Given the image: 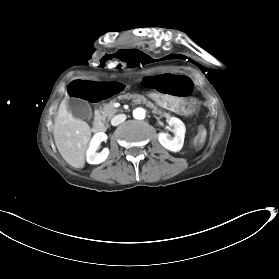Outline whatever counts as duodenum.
Segmentation results:
<instances>
[{
    "instance_id": "obj_1",
    "label": "duodenum",
    "mask_w": 279,
    "mask_h": 279,
    "mask_svg": "<svg viewBox=\"0 0 279 279\" xmlns=\"http://www.w3.org/2000/svg\"><path fill=\"white\" fill-rule=\"evenodd\" d=\"M147 96H150V93H147ZM98 120L99 126L92 125V130H94V132H106V127H104L103 113H98Z\"/></svg>"
}]
</instances>
